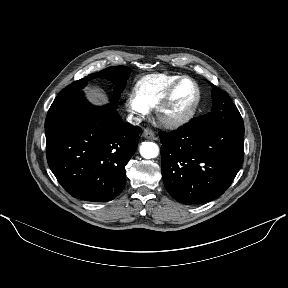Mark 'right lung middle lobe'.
<instances>
[{"label":"right lung middle lobe","mask_w":288,"mask_h":288,"mask_svg":"<svg viewBox=\"0 0 288 288\" xmlns=\"http://www.w3.org/2000/svg\"><path fill=\"white\" fill-rule=\"evenodd\" d=\"M131 69L125 66L108 67L99 73L90 74L80 80L74 81L63 89L55 98L54 102H58L61 99L69 96L70 94L81 91L91 79L95 78H106L115 84L114 95L112 99V104L117 106L120 95L126 85V79L128 78Z\"/></svg>","instance_id":"right-lung-middle-lobe-1"}]
</instances>
